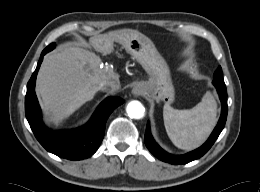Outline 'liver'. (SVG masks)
<instances>
[{
  "instance_id": "liver-1",
  "label": "liver",
  "mask_w": 260,
  "mask_h": 192,
  "mask_svg": "<svg viewBox=\"0 0 260 192\" xmlns=\"http://www.w3.org/2000/svg\"><path fill=\"white\" fill-rule=\"evenodd\" d=\"M117 32L96 35L90 44L104 55L113 51ZM118 78L111 69L102 66L92 51L70 44L44 57L37 75L36 92L42 98L43 109L57 119H64L91 101L101 90V83Z\"/></svg>"
}]
</instances>
